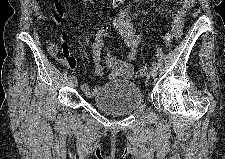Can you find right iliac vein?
<instances>
[{
	"label": "right iliac vein",
	"instance_id": "63e3f726",
	"mask_svg": "<svg viewBox=\"0 0 225 159\" xmlns=\"http://www.w3.org/2000/svg\"><path fill=\"white\" fill-rule=\"evenodd\" d=\"M77 84H78L77 79L73 76L70 80V85L72 88H75Z\"/></svg>",
	"mask_w": 225,
	"mask_h": 159
}]
</instances>
